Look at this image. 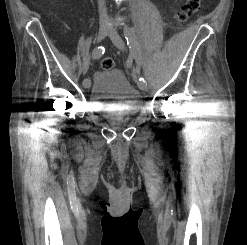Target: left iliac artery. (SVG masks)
<instances>
[{
    "mask_svg": "<svg viewBox=\"0 0 247 245\" xmlns=\"http://www.w3.org/2000/svg\"><path fill=\"white\" fill-rule=\"evenodd\" d=\"M124 35L127 40V45L130 48V58H135V61L137 63V68H140L142 65V57L140 53V45H137V42L139 41L138 37H135L136 32L129 27L124 28ZM139 83L141 84H147L144 77L139 76Z\"/></svg>",
    "mask_w": 247,
    "mask_h": 245,
    "instance_id": "obj_1",
    "label": "left iliac artery"
}]
</instances>
